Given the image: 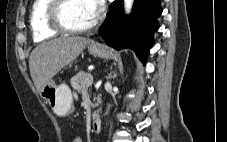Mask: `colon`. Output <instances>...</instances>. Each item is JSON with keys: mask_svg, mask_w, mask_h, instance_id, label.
Wrapping results in <instances>:
<instances>
[{"mask_svg": "<svg viewBox=\"0 0 227 142\" xmlns=\"http://www.w3.org/2000/svg\"><path fill=\"white\" fill-rule=\"evenodd\" d=\"M70 142H84V140L80 134L76 133L71 137Z\"/></svg>", "mask_w": 227, "mask_h": 142, "instance_id": "1", "label": "colon"}]
</instances>
